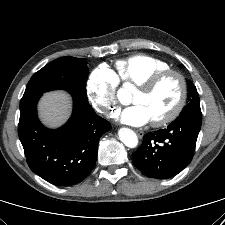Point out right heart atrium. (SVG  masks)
I'll return each mask as SVG.
<instances>
[{
	"instance_id": "d8ad5b80",
	"label": "right heart atrium",
	"mask_w": 225,
	"mask_h": 225,
	"mask_svg": "<svg viewBox=\"0 0 225 225\" xmlns=\"http://www.w3.org/2000/svg\"><path fill=\"white\" fill-rule=\"evenodd\" d=\"M118 80L106 66H100L89 76L86 90L90 103L99 112L111 115L117 100Z\"/></svg>"
}]
</instances>
